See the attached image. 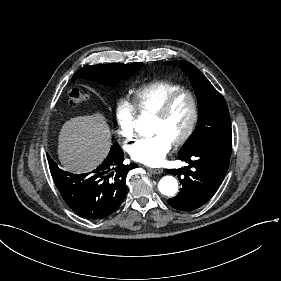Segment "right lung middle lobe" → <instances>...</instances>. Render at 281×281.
<instances>
[{"mask_svg": "<svg viewBox=\"0 0 281 281\" xmlns=\"http://www.w3.org/2000/svg\"><path fill=\"white\" fill-rule=\"evenodd\" d=\"M143 67V63L133 64H104L87 66L78 70L72 80L78 78L90 79L101 84L114 85L119 80L125 79Z\"/></svg>", "mask_w": 281, "mask_h": 281, "instance_id": "obj_1", "label": "right lung middle lobe"}]
</instances>
